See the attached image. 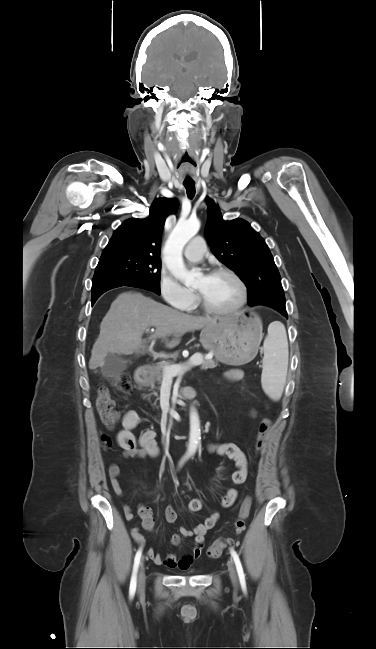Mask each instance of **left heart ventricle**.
Returning a JSON list of instances; mask_svg holds the SVG:
<instances>
[{"label": "left heart ventricle", "mask_w": 376, "mask_h": 649, "mask_svg": "<svg viewBox=\"0 0 376 649\" xmlns=\"http://www.w3.org/2000/svg\"><path fill=\"white\" fill-rule=\"evenodd\" d=\"M194 288L203 295L210 306L217 309H226L235 305L240 297L237 283L224 273L202 275Z\"/></svg>", "instance_id": "obj_1"}]
</instances>
